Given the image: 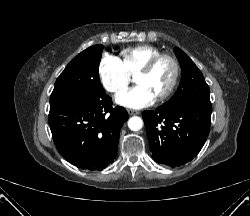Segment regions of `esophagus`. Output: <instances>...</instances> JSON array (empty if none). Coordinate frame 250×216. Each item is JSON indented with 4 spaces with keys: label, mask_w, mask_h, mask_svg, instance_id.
I'll return each mask as SVG.
<instances>
[{
    "label": "esophagus",
    "mask_w": 250,
    "mask_h": 216,
    "mask_svg": "<svg viewBox=\"0 0 250 216\" xmlns=\"http://www.w3.org/2000/svg\"><path fill=\"white\" fill-rule=\"evenodd\" d=\"M127 112H128L129 115H136V114H139L138 111L133 110V109H128Z\"/></svg>",
    "instance_id": "obj_1"
}]
</instances>
